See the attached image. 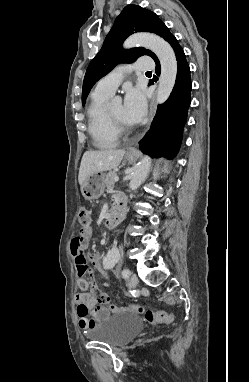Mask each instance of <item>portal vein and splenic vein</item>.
I'll return each mask as SVG.
<instances>
[{
    "mask_svg": "<svg viewBox=\"0 0 249 382\" xmlns=\"http://www.w3.org/2000/svg\"><path fill=\"white\" fill-rule=\"evenodd\" d=\"M114 181H115V182H118V181H119V177H118V176H115V177H114Z\"/></svg>",
    "mask_w": 249,
    "mask_h": 382,
    "instance_id": "18ae733b",
    "label": "portal vein and splenic vein"
}]
</instances>
